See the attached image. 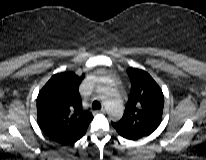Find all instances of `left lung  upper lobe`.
Listing matches in <instances>:
<instances>
[{
  "label": "left lung upper lobe",
  "instance_id": "left-lung-upper-lobe-1",
  "mask_svg": "<svg viewBox=\"0 0 206 160\" xmlns=\"http://www.w3.org/2000/svg\"><path fill=\"white\" fill-rule=\"evenodd\" d=\"M131 92L120 121L112 123L122 136L139 139L150 135L162 120L164 96L153 78L145 71L129 68Z\"/></svg>",
  "mask_w": 206,
  "mask_h": 160
}]
</instances>
